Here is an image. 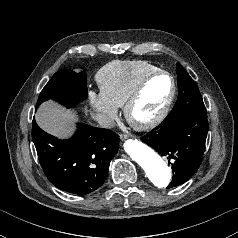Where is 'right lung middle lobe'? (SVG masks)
Returning <instances> with one entry per match:
<instances>
[{
    "instance_id": "right-lung-middle-lobe-1",
    "label": "right lung middle lobe",
    "mask_w": 238,
    "mask_h": 238,
    "mask_svg": "<svg viewBox=\"0 0 238 238\" xmlns=\"http://www.w3.org/2000/svg\"><path fill=\"white\" fill-rule=\"evenodd\" d=\"M87 97L86 74L73 71H58L41 91L36 108L48 99H54L72 107Z\"/></svg>"
}]
</instances>
